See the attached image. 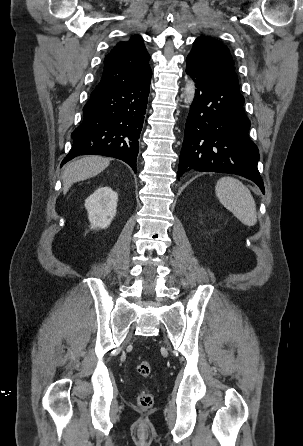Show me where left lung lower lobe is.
Returning a JSON list of instances; mask_svg holds the SVG:
<instances>
[{"label":"left lung lower lobe","mask_w":303,"mask_h":446,"mask_svg":"<svg viewBox=\"0 0 303 446\" xmlns=\"http://www.w3.org/2000/svg\"><path fill=\"white\" fill-rule=\"evenodd\" d=\"M186 63L197 90L186 121L178 178L189 170L237 174L264 193L259 151L248 136L250 120L240 90L192 61Z\"/></svg>","instance_id":"obj_1"}]
</instances>
